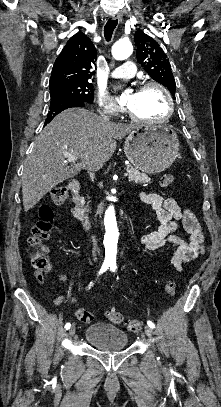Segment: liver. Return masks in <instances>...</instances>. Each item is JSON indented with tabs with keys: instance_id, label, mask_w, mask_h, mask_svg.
I'll return each instance as SVG.
<instances>
[{
	"instance_id": "obj_1",
	"label": "liver",
	"mask_w": 221,
	"mask_h": 407,
	"mask_svg": "<svg viewBox=\"0 0 221 407\" xmlns=\"http://www.w3.org/2000/svg\"><path fill=\"white\" fill-rule=\"evenodd\" d=\"M135 128V125L104 122L83 108H71L58 114L38 135L25 161L22 176L24 211L30 210L52 188L82 170L101 169L114 154L116 140H121ZM65 153L80 161L68 165Z\"/></svg>"
}]
</instances>
